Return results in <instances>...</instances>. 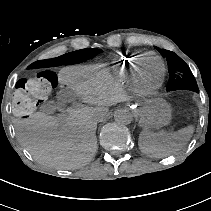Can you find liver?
<instances>
[{
	"instance_id": "6515ba94",
	"label": "liver",
	"mask_w": 211,
	"mask_h": 211,
	"mask_svg": "<svg viewBox=\"0 0 211 211\" xmlns=\"http://www.w3.org/2000/svg\"><path fill=\"white\" fill-rule=\"evenodd\" d=\"M59 82L73 89L90 105L68 109L65 121L40 111L18 120V141L40 163L57 169H75L86 165L97 150V114L102 119L107 107L125 100L117 84L92 77L90 67L73 66L59 74Z\"/></svg>"
}]
</instances>
